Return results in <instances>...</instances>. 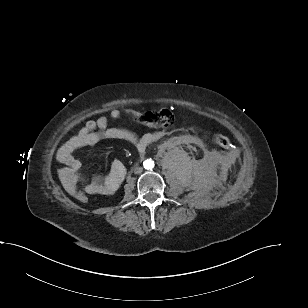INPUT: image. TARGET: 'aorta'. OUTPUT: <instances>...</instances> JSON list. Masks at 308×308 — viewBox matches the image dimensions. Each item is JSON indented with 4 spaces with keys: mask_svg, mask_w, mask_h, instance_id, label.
<instances>
[{
    "mask_svg": "<svg viewBox=\"0 0 308 308\" xmlns=\"http://www.w3.org/2000/svg\"><path fill=\"white\" fill-rule=\"evenodd\" d=\"M143 166L145 169L149 170V169H153L154 168V161L151 159H147L143 162Z\"/></svg>",
    "mask_w": 308,
    "mask_h": 308,
    "instance_id": "aorta-1",
    "label": "aorta"
}]
</instances>
